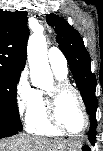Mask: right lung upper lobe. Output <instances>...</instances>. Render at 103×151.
Masks as SVG:
<instances>
[{"mask_svg": "<svg viewBox=\"0 0 103 151\" xmlns=\"http://www.w3.org/2000/svg\"><path fill=\"white\" fill-rule=\"evenodd\" d=\"M29 37L26 11L0 10V67L21 72Z\"/></svg>", "mask_w": 103, "mask_h": 151, "instance_id": "right-lung-upper-lobe-1", "label": "right lung upper lobe"}]
</instances>
